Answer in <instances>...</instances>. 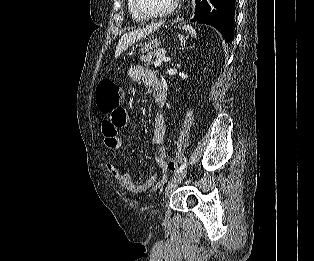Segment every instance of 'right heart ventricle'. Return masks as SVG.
Masks as SVG:
<instances>
[{
  "instance_id": "obj_1",
  "label": "right heart ventricle",
  "mask_w": 314,
  "mask_h": 261,
  "mask_svg": "<svg viewBox=\"0 0 314 261\" xmlns=\"http://www.w3.org/2000/svg\"><path fill=\"white\" fill-rule=\"evenodd\" d=\"M127 7L131 17L136 21H144L146 18L142 17L134 7V0H127Z\"/></svg>"
}]
</instances>
